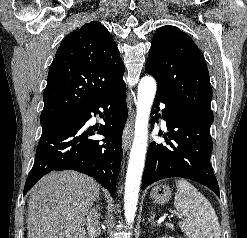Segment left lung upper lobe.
<instances>
[{
    "label": "left lung upper lobe",
    "mask_w": 247,
    "mask_h": 238,
    "mask_svg": "<svg viewBox=\"0 0 247 238\" xmlns=\"http://www.w3.org/2000/svg\"><path fill=\"white\" fill-rule=\"evenodd\" d=\"M145 70L155 77L167 102L213 122L212 89L205 58L194 41L174 26L159 28Z\"/></svg>",
    "instance_id": "left-lung-upper-lobe-1"
}]
</instances>
